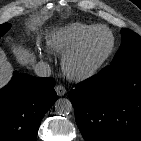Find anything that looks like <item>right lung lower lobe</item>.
I'll return each mask as SVG.
<instances>
[{
    "instance_id": "right-lung-lower-lobe-1",
    "label": "right lung lower lobe",
    "mask_w": 141,
    "mask_h": 141,
    "mask_svg": "<svg viewBox=\"0 0 141 141\" xmlns=\"http://www.w3.org/2000/svg\"><path fill=\"white\" fill-rule=\"evenodd\" d=\"M53 78L15 73L0 90V141H35L44 114L57 100Z\"/></svg>"
}]
</instances>
